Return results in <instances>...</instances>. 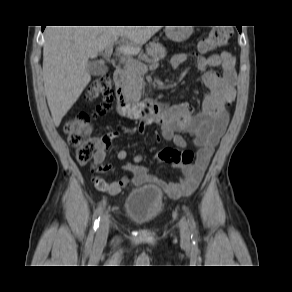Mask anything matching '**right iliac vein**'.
I'll return each mask as SVG.
<instances>
[{"mask_svg":"<svg viewBox=\"0 0 292 292\" xmlns=\"http://www.w3.org/2000/svg\"><path fill=\"white\" fill-rule=\"evenodd\" d=\"M108 231H109V218L106 214H104L101 217L100 224L98 227V231L96 235L97 241L103 242L107 238Z\"/></svg>","mask_w":292,"mask_h":292,"instance_id":"1","label":"right iliac vein"}]
</instances>
